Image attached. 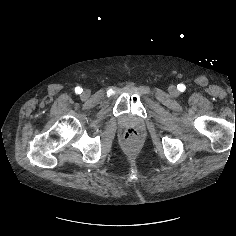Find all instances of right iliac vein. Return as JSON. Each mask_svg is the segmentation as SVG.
<instances>
[{
	"mask_svg": "<svg viewBox=\"0 0 236 236\" xmlns=\"http://www.w3.org/2000/svg\"><path fill=\"white\" fill-rule=\"evenodd\" d=\"M90 96V91L84 90L83 93L81 94L82 99H87Z\"/></svg>",
	"mask_w": 236,
	"mask_h": 236,
	"instance_id": "right-iliac-vein-1",
	"label": "right iliac vein"
}]
</instances>
